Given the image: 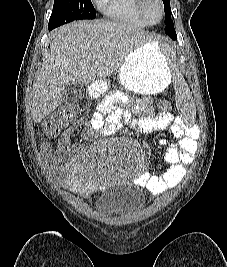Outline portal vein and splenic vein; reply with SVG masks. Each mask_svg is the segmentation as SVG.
I'll list each match as a JSON object with an SVG mask.
<instances>
[{"instance_id":"portal-vein-and-splenic-vein-1","label":"portal vein and splenic vein","mask_w":227,"mask_h":267,"mask_svg":"<svg viewBox=\"0 0 227 267\" xmlns=\"http://www.w3.org/2000/svg\"><path fill=\"white\" fill-rule=\"evenodd\" d=\"M91 60L93 61V60H95V58L93 57V58H91Z\"/></svg>"}]
</instances>
